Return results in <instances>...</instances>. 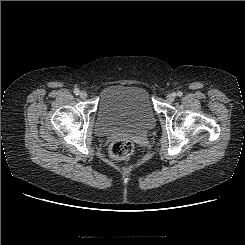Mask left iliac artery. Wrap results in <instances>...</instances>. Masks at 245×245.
Here are the masks:
<instances>
[{
  "mask_svg": "<svg viewBox=\"0 0 245 245\" xmlns=\"http://www.w3.org/2000/svg\"><path fill=\"white\" fill-rule=\"evenodd\" d=\"M177 95L181 97L183 95V93L179 91V92H177Z\"/></svg>",
  "mask_w": 245,
  "mask_h": 245,
  "instance_id": "left-iliac-artery-1",
  "label": "left iliac artery"
}]
</instances>
